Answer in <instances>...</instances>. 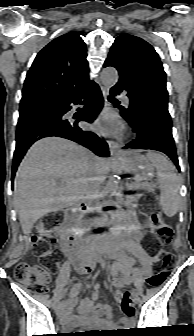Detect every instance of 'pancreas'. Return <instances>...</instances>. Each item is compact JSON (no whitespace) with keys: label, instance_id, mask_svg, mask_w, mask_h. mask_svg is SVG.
I'll return each mask as SVG.
<instances>
[{"label":"pancreas","instance_id":"obj_1","mask_svg":"<svg viewBox=\"0 0 194 336\" xmlns=\"http://www.w3.org/2000/svg\"><path fill=\"white\" fill-rule=\"evenodd\" d=\"M128 189L132 190L135 194H141L145 195L146 193H149L153 190V187L147 183V182H141L137 180L136 182L129 184ZM124 197H126L125 201V209L127 211H135L137 209V206L135 203L137 202V197H134L133 193H126L124 194Z\"/></svg>","mask_w":194,"mask_h":336}]
</instances>
